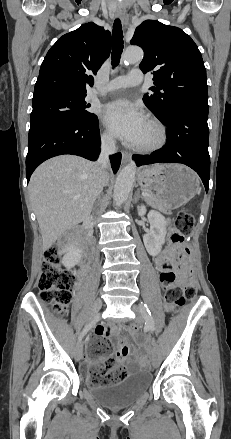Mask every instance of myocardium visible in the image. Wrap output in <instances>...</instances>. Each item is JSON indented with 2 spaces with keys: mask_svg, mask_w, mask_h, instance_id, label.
I'll use <instances>...</instances> for the list:
<instances>
[{
  "mask_svg": "<svg viewBox=\"0 0 231 439\" xmlns=\"http://www.w3.org/2000/svg\"><path fill=\"white\" fill-rule=\"evenodd\" d=\"M156 130V139L146 144H135L134 149L142 153L155 152L165 146L168 134L165 125L156 117H149L147 121Z\"/></svg>",
  "mask_w": 231,
  "mask_h": 439,
  "instance_id": "f54148a6",
  "label": "myocardium"
}]
</instances>
